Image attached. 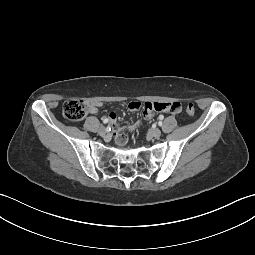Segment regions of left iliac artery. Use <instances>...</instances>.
Here are the masks:
<instances>
[{"label":"left iliac artery","instance_id":"obj_1","mask_svg":"<svg viewBox=\"0 0 255 255\" xmlns=\"http://www.w3.org/2000/svg\"><path fill=\"white\" fill-rule=\"evenodd\" d=\"M159 125L162 126V122L161 121L159 122Z\"/></svg>","mask_w":255,"mask_h":255}]
</instances>
